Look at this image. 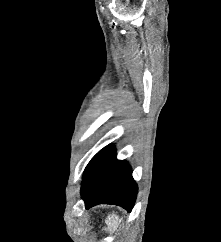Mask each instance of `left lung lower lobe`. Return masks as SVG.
Returning <instances> with one entry per match:
<instances>
[{"label":"left lung lower lobe","instance_id":"0a47b994","mask_svg":"<svg viewBox=\"0 0 221 242\" xmlns=\"http://www.w3.org/2000/svg\"><path fill=\"white\" fill-rule=\"evenodd\" d=\"M86 209L97 204L120 205L131 211L137 195V185L126 161L116 159L115 149L108 145L86 166L81 188Z\"/></svg>","mask_w":221,"mask_h":242}]
</instances>
